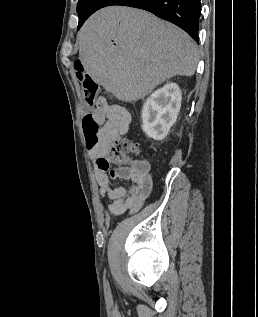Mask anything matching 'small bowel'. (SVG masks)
I'll return each mask as SVG.
<instances>
[{
	"instance_id": "c3829d8e",
	"label": "small bowel",
	"mask_w": 258,
	"mask_h": 317,
	"mask_svg": "<svg viewBox=\"0 0 258 317\" xmlns=\"http://www.w3.org/2000/svg\"><path fill=\"white\" fill-rule=\"evenodd\" d=\"M95 111L103 116L105 132L102 143L90 150L95 163V177L102 197L112 200L108 210L112 215L134 213L146 202L152 191L151 164L145 159L128 160L125 163L113 161L108 156L110 143L127 133L131 114L125 108L109 104L104 98L96 102ZM112 163L116 168L110 169ZM114 180H127L129 188L111 185Z\"/></svg>"
}]
</instances>
